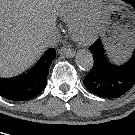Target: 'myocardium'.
<instances>
[{
    "instance_id": "myocardium-1",
    "label": "myocardium",
    "mask_w": 135,
    "mask_h": 135,
    "mask_svg": "<svg viewBox=\"0 0 135 135\" xmlns=\"http://www.w3.org/2000/svg\"><path fill=\"white\" fill-rule=\"evenodd\" d=\"M104 0H87L84 9L70 22V34L78 42L96 37L101 27V9Z\"/></svg>"
}]
</instances>
